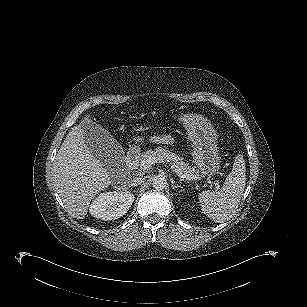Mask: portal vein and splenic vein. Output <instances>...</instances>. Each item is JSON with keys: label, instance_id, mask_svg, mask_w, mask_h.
<instances>
[{"label": "portal vein and splenic vein", "instance_id": "1", "mask_svg": "<svg viewBox=\"0 0 307 307\" xmlns=\"http://www.w3.org/2000/svg\"><path fill=\"white\" fill-rule=\"evenodd\" d=\"M157 161H159V159L157 158H152V157H146L144 158L141 163H140V168L143 170H147L149 169L154 163H156ZM177 176H179L181 179H189L191 180L192 178H188L185 174H182L181 172L177 171V170H173ZM196 178V177H193ZM213 182V181H212ZM213 184L216 186L217 189H219V184L215 183V181L213 182Z\"/></svg>", "mask_w": 307, "mask_h": 307}]
</instances>
